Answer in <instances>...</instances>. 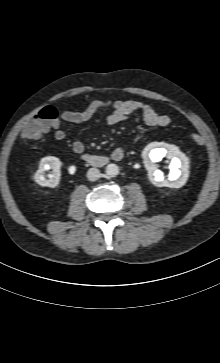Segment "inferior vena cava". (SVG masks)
Wrapping results in <instances>:
<instances>
[{
	"instance_id": "1",
	"label": "inferior vena cava",
	"mask_w": 220,
	"mask_h": 363,
	"mask_svg": "<svg viewBox=\"0 0 220 363\" xmlns=\"http://www.w3.org/2000/svg\"><path fill=\"white\" fill-rule=\"evenodd\" d=\"M101 176L100 171L97 168H90L87 172V178L90 181H96Z\"/></svg>"
}]
</instances>
